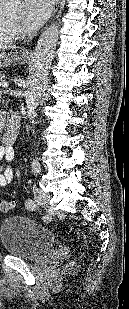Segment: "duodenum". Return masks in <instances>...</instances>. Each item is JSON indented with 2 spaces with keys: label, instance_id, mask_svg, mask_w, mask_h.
Returning a JSON list of instances; mask_svg holds the SVG:
<instances>
[{
  "label": "duodenum",
  "instance_id": "duodenum-1",
  "mask_svg": "<svg viewBox=\"0 0 129 309\" xmlns=\"http://www.w3.org/2000/svg\"><path fill=\"white\" fill-rule=\"evenodd\" d=\"M18 132V121L15 115L8 118L7 129L3 135L4 142L7 146H12L16 140Z\"/></svg>",
  "mask_w": 129,
  "mask_h": 309
}]
</instances>
